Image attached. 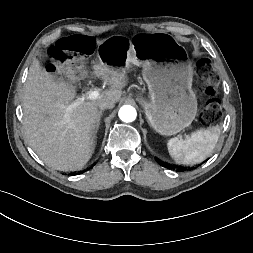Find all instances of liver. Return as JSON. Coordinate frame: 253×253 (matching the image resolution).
I'll list each match as a JSON object with an SVG mask.
<instances>
[{"instance_id": "liver-1", "label": "liver", "mask_w": 253, "mask_h": 253, "mask_svg": "<svg viewBox=\"0 0 253 253\" xmlns=\"http://www.w3.org/2000/svg\"><path fill=\"white\" fill-rule=\"evenodd\" d=\"M93 70L111 88L98 99L85 101L74 100L75 87L55 80L38 61L29 68L23 93L24 135L39 158L56 170L76 171L87 164L95 150L99 103L111 100L115 104L127 85L125 71L100 63Z\"/></svg>"}]
</instances>
